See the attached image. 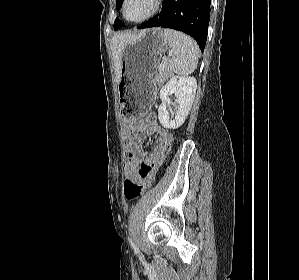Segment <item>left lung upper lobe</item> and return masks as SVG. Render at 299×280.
Masks as SVG:
<instances>
[{
    "label": "left lung upper lobe",
    "mask_w": 299,
    "mask_h": 280,
    "mask_svg": "<svg viewBox=\"0 0 299 280\" xmlns=\"http://www.w3.org/2000/svg\"><path fill=\"white\" fill-rule=\"evenodd\" d=\"M123 3V0H117V4H116V9L119 10L121 5ZM122 26H124V23L122 21H120L118 18H116L115 22H114V29H119Z\"/></svg>",
    "instance_id": "obj_1"
}]
</instances>
